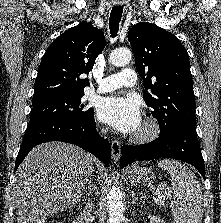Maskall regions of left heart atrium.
<instances>
[{"label": "left heart atrium", "mask_w": 221, "mask_h": 223, "mask_svg": "<svg viewBox=\"0 0 221 223\" xmlns=\"http://www.w3.org/2000/svg\"><path fill=\"white\" fill-rule=\"evenodd\" d=\"M98 119L115 130L129 134L141 127L142 113L137 100L131 96H110L101 101Z\"/></svg>", "instance_id": "1"}]
</instances>
